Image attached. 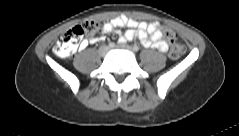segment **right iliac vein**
<instances>
[{
  "mask_svg": "<svg viewBox=\"0 0 239 136\" xmlns=\"http://www.w3.org/2000/svg\"><path fill=\"white\" fill-rule=\"evenodd\" d=\"M109 51V47L107 46H102L99 48L98 53L101 57H104Z\"/></svg>",
  "mask_w": 239,
  "mask_h": 136,
  "instance_id": "63e3f726",
  "label": "right iliac vein"
}]
</instances>
